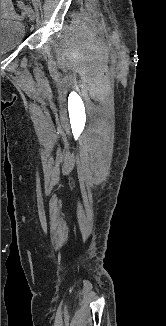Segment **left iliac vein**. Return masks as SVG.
<instances>
[{
	"mask_svg": "<svg viewBox=\"0 0 166 326\" xmlns=\"http://www.w3.org/2000/svg\"><path fill=\"white\" fill-rule=\"evenodd\" d=\"M26 13H27V16L30 19V21L33 22L35 20V12L31 6L27 7Z\"/></svg>",
	"mask_w": 166,
	"mask_h": 326,
	"instance_id": "1",
	"label": "left iliac vein"
}]
</instances>
